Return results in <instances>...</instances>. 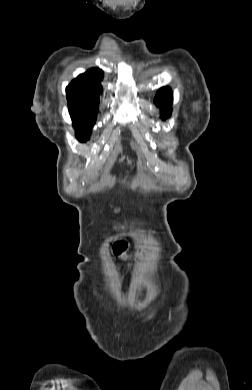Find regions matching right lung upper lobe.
I'll list each match as a JSON object with an SVG mask.
<instances>
[{"mask_svg": "<svg viewBox=\"0 0 252 390\" xmlns=\"http://www.w3.org/2000/svg\"><path fill=\"white\" fill-rule=\"evenodd\" d=\"M102 78L103 72L94 68L74 79L66 87L69 111L98 110Z\"/></svg>", "mask_w": 252, "mask_h": 390, "instance_id": "1", "label": "right lung upper lobe"}]
</instances>
